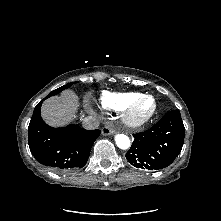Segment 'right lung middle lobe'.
I'll return each instance as SVG.
<instances>
[{
    "label": "right lung middle lobe",
    "instance_id": "1",
    "mask_svg": "<svg viewBox=\"0 0 221 221\" xmlns=\"http://www.w3.org/2000/svg\"><path fill=\"white\" fill-rule=\"evenodd\" d=\"M75 83H76V82H71V83H68V84H66V85H64V86H62V87H60V88H58V89H56V90H53V91L48 95V97L58 94V93L61 92L62 90L66 89V88H68V87H70V86H72V85L75 84Z\"/></svg>",
    "mask_w": 221,
    "mask_h": 221
}]
</instances>
